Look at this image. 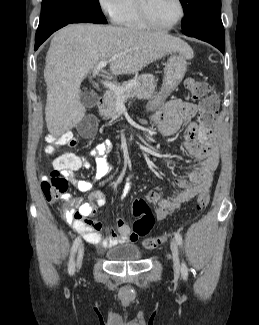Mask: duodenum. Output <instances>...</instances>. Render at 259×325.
Returning a JSON list of instances; mask_svg holds the SVG:
<instances>
[{"instance_id": "duodenum-1", "label": "duodenum", "mask_w": 259, "mask_h": 325, "mask_svg": "<svg viewBox=\"0 0 259 325\" xmlns=\"http://www.w3.org/2000/svg\"><path fill=\"white\" fill-rule=\"evenodd\" d=\"M104 105H105L104 99H103L102 97H100V98L98 99V101H97V107H98L99 109H101V108L104 107Z\"/></svg>"}]
</instances>
